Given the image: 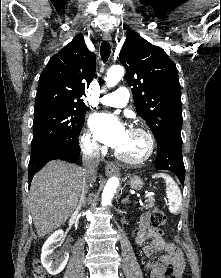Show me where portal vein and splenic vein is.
Masks as SVG:
<instances>
[{
	"label": "portal vein and splenic vein",
	"mask_w": 221,
	"mask_h": 278,
	"mask_svg": "<svg viewBox=\"0 0 221 278\" xmlns=\"http://www.w3.org/2000/svg\"><path fill=\"white\" fill-rule=\"evenodd\" d=\"M154 195L153 193H148L147 196ZM140 204L142 203L141 201L139 202Z\"/></svg>",
	"instance_id": "18ae733b"
}]
</instances>
